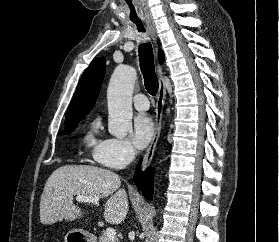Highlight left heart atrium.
<instances>
[{"instance_id":"39dd6f15","label":"left heart atrium","mask_w":279,"mask_h":242,"mask_svg":"<svg viewBox=\"0 0 279 242\" xmlns=\"http://www.w3.org/2000/svg\"><path fill=\"white\" fill-rule=\"evenodd\" d=\"M154 135V123L147 114H139L134 118L132 129V142L137 149H144Z\"/></svg>"}]
</instances>
